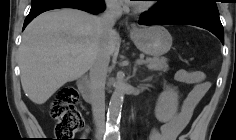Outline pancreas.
<instances>
[{"instance_id":"1","label":"pancreas","mask_w":236,"mask_h":140,"mask_svg":"<svg viewBox=\"0 0 236 140\" xmlns=\"http://www.w3.org/2000/svg\"><path fill=\"white\" fill-rule=\"evenodd\" d=\"M144 63L150 70L166 72L169 69L167 64V58L165 57H154V58L147 57Z\"/></svg>"}]
</instances>
